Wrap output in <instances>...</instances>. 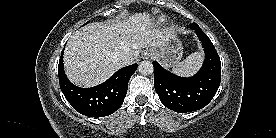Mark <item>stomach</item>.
I'll list each match as a JSON object with an SVG mask.
<instances>
[{
  "label": "stomach",
  "mask_w": 276,
  "mask_h": 138,
  "mask_svg": "<svg viewBox=\"0 0 276 138\" xmlns=\"http://www.w3.org/2000/svg\"><path fill=\"white\" fill-rule=\"evenodd\" d=\"M183 47L181 41L174 35L159 51H155V56L166 68L174 67L182 58Z\"/></svg>",
  "instance_id": "1"
}]
</instances>
